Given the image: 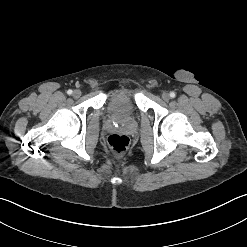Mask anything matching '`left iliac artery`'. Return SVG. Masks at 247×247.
<instances>
[{"label": "left iliac artery", "instance_id": "obj_1", "mask_svg": "<svg viewBox=\"0 0 247 247\" xmlns=\"http://www.w3.org/2000/svg\"><path fill=\"white\" fill-rule=\"evenodd\" d=\"M176 96L175 92H170V97L174 98Z\"/></svg>", "mask_w": 247, "mask_h": 247}]
</instances>
